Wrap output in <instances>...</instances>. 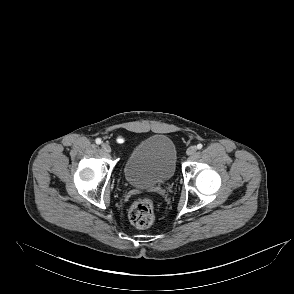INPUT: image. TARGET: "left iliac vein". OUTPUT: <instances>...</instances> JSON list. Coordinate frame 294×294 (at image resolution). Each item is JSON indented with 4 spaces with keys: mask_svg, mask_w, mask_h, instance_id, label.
I'll return each instance as SVG.
<instances>
[{
    "mask_svg": "<svg viewBox=\"0 0 294 294\" xmlns=\"http://www.w3.org/2000/svg\"><path fill=\"white\" fill-rule=\"evenodd\" d=\"M196 150H197L196 146H190L187 149V152L186 153H187V155H193V154H195Z\"/></svg>",
    "mask_w": 294,
    "mask_h": 294,
    "instance_id": "left-iliac-vein-1",
    "label": "left iliac vein"
}]
</instances>
